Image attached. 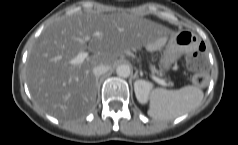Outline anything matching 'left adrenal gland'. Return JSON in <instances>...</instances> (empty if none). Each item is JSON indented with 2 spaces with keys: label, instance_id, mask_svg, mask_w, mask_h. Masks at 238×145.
<instances>
[{
  "label": "left adrenal gland",
  "instance_id": "obj_1",
  "mask_svg": "<svg viewBox=\"0 0 238 145\" xmlns=\"http://www.w3.org/2000/svg\"><path fill=\"white\" fill-rule=\"evenodd\" d=\"M135 77H138V70H136L135 72Z\"/></svg>",
  "mask_w": 238,
  "mask_h": 145
}]
</instances>
